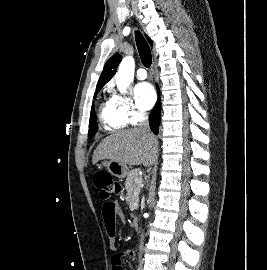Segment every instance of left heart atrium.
Returning a JSON list of instances; mask_svg holds the SVG:
<instances>
[{
  "label": "left heart atrium",
  "mask_w": 267,
  "mask_h": 270,
  "mask_svg": "<svg viewBox=\"0 0 267 270\" xmlns=\"http://www.w3.org/2000/svg\"><path fill=\"white\" fill-rule=\"evenodd\" d=\"M135 101L139 109H150L156 99L153 87L147 82H141L134 88Z\"/></svg>",
  "instance_id": "39dd6f15"
}]
</instances>
